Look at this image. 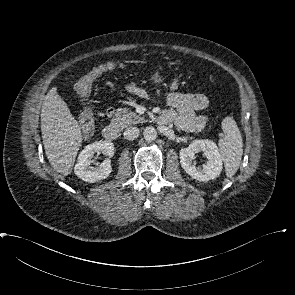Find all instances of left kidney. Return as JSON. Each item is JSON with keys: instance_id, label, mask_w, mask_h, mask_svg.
I'll use <instances>...</instances> for the list:
<instances>
[{"instance_id": "obj_1", "label": "left kidney", "mask_w": 295, "mask_h": 295, "mask_svg": "<svg viewBox=\"0 0 295 295\" xmlns=\"http://www.w3.org/2000/svg\"><path fill=\"white\" fill-rule=\"evenodd\" d=\"M208 159L203 168L194 164L198 152ZM180 163L184 171L198 181H209L218 177L222 171V159L216 144L211 140H195L187 148L180 150Z\"/></svg>"}]
</instances>
